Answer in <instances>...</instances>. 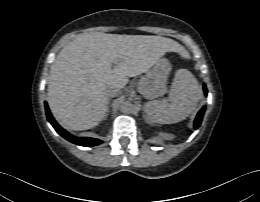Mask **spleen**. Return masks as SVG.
Here are the masks:
<instances>
[{
    "instance_id": "1",
    "label": "spleen",
    "mask_w": 260,
    "mask_h": 202,
    "mask_svg": "<svg viewBox=\"0 0 260 202\" xmlns=\"http://www.w3.org/2000/svg\"><path fill=\"white\" fill-rule=\"evenodd\" d=\"M200 99L196 78L186 69L176 71L167 100L149 101L145 112L151 121L161 124L177 123L188 117Z\"/></svg>"
}]
</instances>
